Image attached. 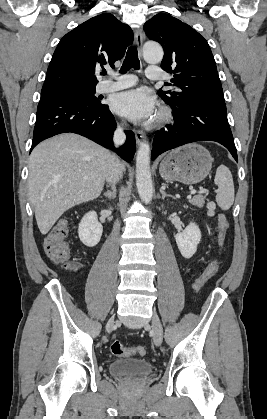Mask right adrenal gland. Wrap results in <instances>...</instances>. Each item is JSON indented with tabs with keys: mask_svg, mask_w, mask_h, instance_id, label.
Returning <instances> with one entry per match:
<instances>
[{
	"mask_svg": "<svg viewBox=\"0 0 267 419\" xmlns=\"http://www.w3.org/2000/svg\"><path fill=\"white\" fill-rule=\"evenodd\" d=\"M104 196L108 198L109 200L116 198V187L114 184L112 185L111 190H108L107 192L104 193Z\"/></svg>",
	"mask_w": 267,
	"mask_h": 419,
	"instance_id": "obj_1",
	"label": "right adrenal gland"
}]
</instances>
